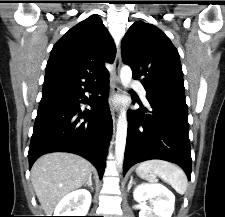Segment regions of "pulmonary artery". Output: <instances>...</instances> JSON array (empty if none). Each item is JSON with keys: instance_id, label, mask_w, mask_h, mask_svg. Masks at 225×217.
<instances>
[{"instance_id": "pulmonary-artery-1", "label": "pulmonary artery", "mask_w": 225, "mask_h": 217, "mask_svg": "<svg viewBox=\"0 0 225 217\" xmlns=\"http://www.w3.org/2000/svg\"><path fill=\"white\" fill-rule=\"evenodd\" d=\"M133 88L140 94L141 98L146 102V91L144 89V87L139 84V83H135L133 84Z\"/></svg>"}]
</instances>
